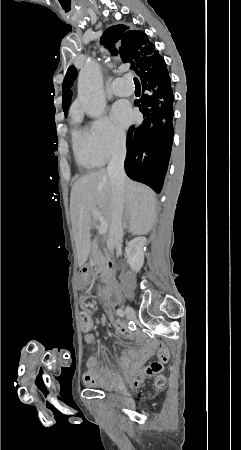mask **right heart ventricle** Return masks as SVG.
<instances>
[{"label": "right heart ventricle", "instance_id": "e07e8e85", "mask_svg": "<svg viewBox=\"0 0 241 450\" xmlns=\"http://www.w3.org/2000/svg\"><path fill=\"white\" fill-rule=\"evenodd\" d=\"M90 126L76 125L72 129V145L77 163L84 168L103 165L104 161L95 156L87 147V131Z\"/></svg>", "mask_w": 241, "mask_h": 450}]
</instances>
